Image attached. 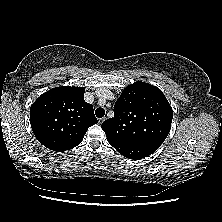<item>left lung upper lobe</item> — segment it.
Segmentation results:
<instances>
[{"label": "left lung upper lobe", "mask_w": 222, "mask_h": 222, "mask_svg": "<svg viewBox=\"0 0 222 222\" xmlns=\"http://www.w3.org/2000/svg\"><path fill=\"white\" fill-rule=\"evenodd\" d=\"M173 110L162 91L137 81L127 86L114 105V118L103 131L110 144L158 149L169 134Z\"/></svg>", "instance_id": "1"}]
</instances>
